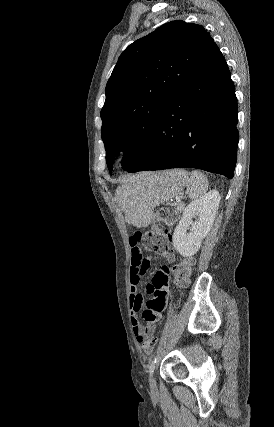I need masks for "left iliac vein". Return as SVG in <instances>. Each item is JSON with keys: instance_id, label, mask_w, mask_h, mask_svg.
<instances>
[{"instance_id": "4c4485c4", "label": "left iliac vein", "mask_w": 274, "mask_h": 427, "mask_svg": "<svg viewBox=\"0 0 274 427\" xmlns=\"http://www.w3.org/2000/svg\"><path fill=\"white\" fill-rule=\"evenodd\" d=\"M149 386L151 390H155L156 388V380L153 376V374L149 377Z\"/></svg>"}]
</instances>
